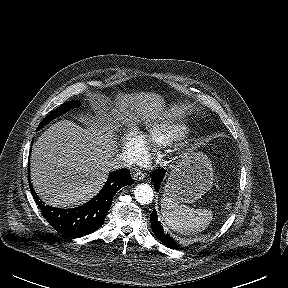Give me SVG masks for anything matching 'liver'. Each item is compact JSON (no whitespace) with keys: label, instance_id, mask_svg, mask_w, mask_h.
<instances>
[{"label":"liver","instance_id":"liver-1","mask_svg":"<svg viewBox=\"0 0 288 288\" xmlns=\"http://www.w3.org/2000/svg\"><path fill=\"white\" fill-rule=\"evenodd\" d=\"M95 105L103 116L90 120L86 129L69 120L59 121L34 143L30 161L32 185L50 206H79L101 190L112 170L110 162L115 150L111 116L141 118L147 123L170 115L163 98L155 93H120L111 110H105L100 99Z\"/></svg>","mask_w":288,"mask_h":288}]
</instances>
